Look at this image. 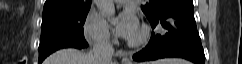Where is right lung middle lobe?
<instances>
[{
	"mask_svg": "<svg viewBox=\"0 0 242 64\" xmlns=\"http://www.w3.org/2000/svg\"><path fill=\"white\" fill-rule=\"evenodd\" d=\"M88 11L89 9L42 15L39 64L48 55L61 48L81 49L88 46L83 34Z\"/></svg>",
	"mask_w": 242,
	"mask_h": 64,
	"instance_id": "obj_1",
	"label": "right lung middle lobe"
}]
</instances>
